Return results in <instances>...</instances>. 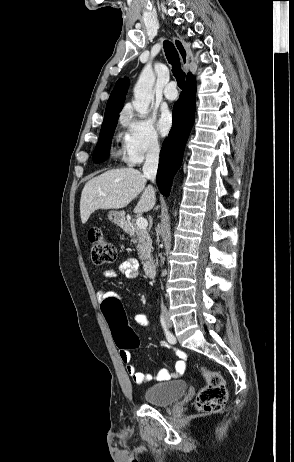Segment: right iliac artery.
<instances>
[{"instance_id": "right-iliac-artery-1", "label": "right iliac artery", "mask_w": 294, "mask_h": 462, "mask_svg": "<svg viewBox=\"0 0 294 462\" xmlns=\"http://www.w3.org/2000/svg\"><path fill=\"white\" fill-rule=\"evenodd\" d=\"M160 321H161V325H162V327L164 329L167 340L171 344H174L176 342V339H175L174 335L167 329L163 316L160 317Z\"/></svg>"}]
</instances>
